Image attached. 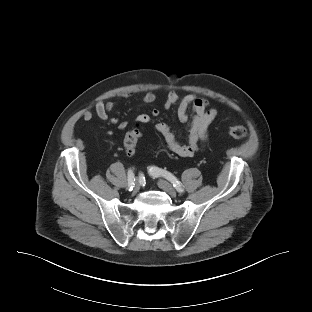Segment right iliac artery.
I'll use <instances>...</instances> for the list:
<instances>
[{
  "mask_svg": "<svg viewBox=\"0 0 312 312\" xmlns=\"http://www.w3.org/2000/svg\"><path fill=\"white\" fill-rule=\"evenodd\" d=\"M134 181H135L134 173H133V171L130 169V170L128 171V189H129V191H132V190H133Z\"/></svg>",
  "mask_w": 312,
  "mask_h": 312,
  "instance_id": "82829eb1",
  "label": "right iliac artery"
}]
</instances>
